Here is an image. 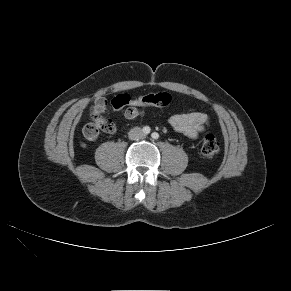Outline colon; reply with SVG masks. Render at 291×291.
<instances>
[{
	"label": "colon",
	"instance_id": "5ec220e1",
	"mask_svg": "<svg viewBox=\"0 0 291 291\" xmlns=\"http://www.w3.org/2000/svg\"><path fill=\"white\" fill-rule=\"evenodd\" d=\"M171 102V97L167 93L155 92L152 94L137 93L133 95L131 92H119L112 98L110 107L122 111L130 105H139L147 107H165ZM91 122L83 127V135L89 141H94L98 138L100 132L112 133L115 131L113 122L103 115L91 113ZM220 151V144L215 136L206 135L202 141L201 152L207 158L215 157Z\"/></svg>",
	"mask_w": 291,
	"mask_h": 291
}]
</instances>
